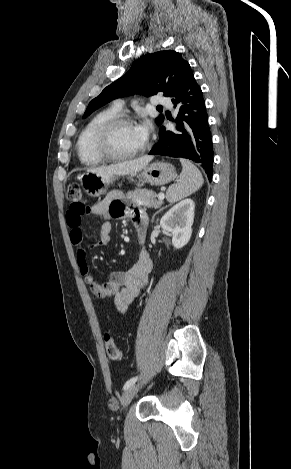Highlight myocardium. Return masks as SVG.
<instances>
[{"label": "myocardium", "instance_id": "myocardium-1", "mask_svg": "<svg viewBox=\"0 0 291 469\" xmlns=\"http://www.w3.org/2000/svg\"><path fill=\"white\" fill-rule=\"evenodd\" d=\"M123 124L133 125L134 121L131 117L127 115L118 114L114 116L113 118L109 119L108 121H106L100 127L97 133V138H96L97 149L99 153L107 160H112V161L129 160L144 153L149 146V143L145 142V144L140 149L133 151L131 153L119 154L115 152L112 146L113 133L118 126L123 125Z\"/></svg>", "mask_w": 291, "mask_h": 469}]
</instances>
